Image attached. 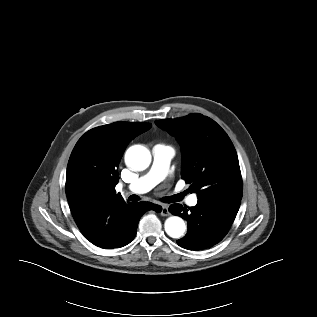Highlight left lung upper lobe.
Masks as SVG:
<instances>
[{
	"mask_svg": "<svg viewBox=\"0 0 317 317\" xmlns=\"http://www.w3.org/2000/svg\"><path fill=\"white\" fill-rule=\"evenodd\" d=\"M155 123L179 141L181 176L198 198L242 199L243 184L236 150L215 121L195 113Z\"/></svg>",
	"mask_w": 317,
	"mask_h": 317,
	"instance_id": "obj_1",
	"label": "left lung upper lobe"
}]
</instances>
